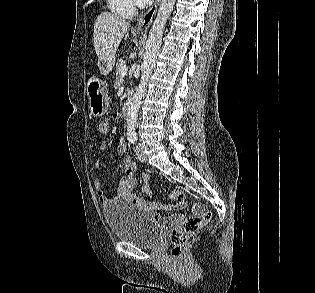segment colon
<instances>
[{"mask_svg": "<svg viewBox=\"0 0 315 293\" xmlns=\"http://www.w3.org/2000/svg\"><path fill=\"white\" fill-rule=\"evenodd\" d=\"M109 125L107 121L101 120L98 124V131L105 134L108 131ZM170 199L182 205L186 202V195L180 190H174L170 193ZM193 211L200 212L201 205L194 204ZM212 220V213L209 211L203 212L200 216L186 217L174 224L170 231L171 251L170 256L172 259L177 260L180 258L183 248L189 240L190 236L201 229L205 224Z\"/></svg>", "mask_w": 315, "mask_h": 293, "instance_id": "1", "label": "colon"}]
</instances>
